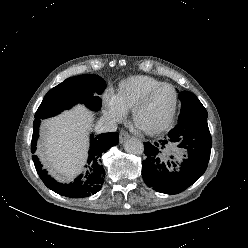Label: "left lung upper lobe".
Masks as SVG:
<instances>
[{"instance_id": "1", "label": "left lung upper lobe", "mask_w": 248, "mask_h": 248, "mask_svg": "<svg viewBox=\"0 0 248 248\" xmlns=\"http://www.w3.org/2000/svg\"><path fill=\"white\" fill-rule=\"evenodd\" d=\"M179 99L181 111L178 121H191L208 117L206 109L194 94L182 91L179 94Z\"/></svg>"}]
</instances>
